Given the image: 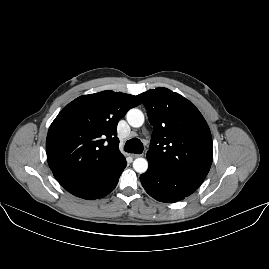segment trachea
<instances>
[{"instance_id": "trachea-1", "label": "trachea", "mask_w": 269, "mask_h": 269, "mask_svg": "<svg viewBox=\"0 0 269 269\" xmlns=\"http://www.w3.org/2000/svg\"><path fill=\"white\" fill-rule=\"evenodd\" d=\"M124 150L129 153L141 154L143 143L137 138L130 139L125 143Z\"/></svg>"}]
</instances>
